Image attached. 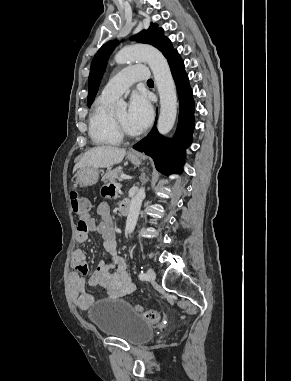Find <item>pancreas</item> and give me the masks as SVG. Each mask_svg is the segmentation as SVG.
<instances>
[{"label":"pancreas","mask_w":291,"mask_h":381,"mask_svg":"<svg viewBox=\"0 0 291 381\" xmlns=\"http://www.w3.org/2000/svg\"><path fill=\"white\" fill-rule=\"evenodd\" d=\"M122 168H115L108 170L102 177L104 183H115L121 180Z\"/></svg>","instance_id":"1"}]
</instances>
